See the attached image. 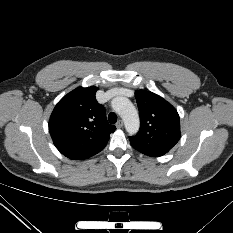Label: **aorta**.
<instances>
[{"mask_svg": "<svg viewBox=\"0 0 233 233\" xmlns=\"http://www.w3.org/2000/svg\"><path fill=\"white\" fill-rule=\"evenodd\" d=\"M111 105L123 119L126 131L130 135L136 134L139 130L140 121L138 112L132 102L126 97H116L112 100Z\"/></svg>", "mask_w": 233, "mask_h": 233, "instance_id": "762f6f07", "label": "aorta"}]
</instances>
